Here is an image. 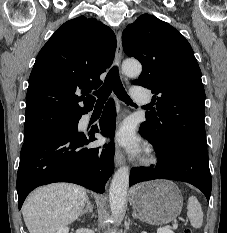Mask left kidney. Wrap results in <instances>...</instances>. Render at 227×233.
<instances>
[{"label": "left kidney", "instance_id": "5707ae66", "mask_svg": "<svg viewBox=\"0 0 227 233\" xmlns=\"http://www.w3.org/2000/svg\"><path fill=\"white\" fill-rule=\"evenodd\" d=\"M157 233H174L173 231H171L170 229L168 228H159L157 230Z\"/></svg>", "mask_w": 227, "mask_h": 233}]
</instances>
